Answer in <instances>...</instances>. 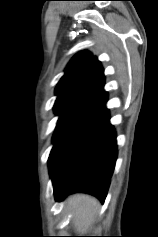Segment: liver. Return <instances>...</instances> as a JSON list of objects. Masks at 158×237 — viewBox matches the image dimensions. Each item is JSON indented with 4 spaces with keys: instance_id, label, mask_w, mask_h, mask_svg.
I'll return each mask as SVG.
<instances>
[{
    "instance_id": "liver-1",
    "label": "liver",
    "mask_w": 158,
    "mask_h": 237,
    "mask_svg": "<svg viewBox=\"0 0 158 237\" xmlns=\"http://www.w3.org/2000/svg\"><path fill=\"white\" fill-rule=\"evenodd\" d=\"M67 204L74 215L77 230H81L96 215L99 202L86 194H74L67 199Z\"/></svg>"
}]
</instances>
